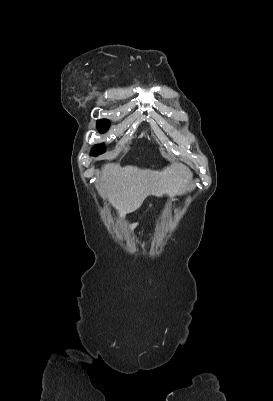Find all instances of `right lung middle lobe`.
I'll return each mask as SVG.
<instances>
[{
  "label": "right lung middle lobe",
  "mask_w": 273,
  "mask_h": 401,
  "mask_svg": "<svg viewBox=\"0 0 273 401\" xmlns=\"http://www.w3.org/2000/svg\"><path fill=\"white\" fill-rule=\"evenodd\" d=\"M109 121L105 120V119H101L98 120V125L97 128L99 129L100 132H106L109 128ZM106 147L104 145H95L92 150H91V154L94 156H97L98 154H101L103 152H105Z\"/></svg>",
  "instance_id": "obj_1"
}]
</instances>
